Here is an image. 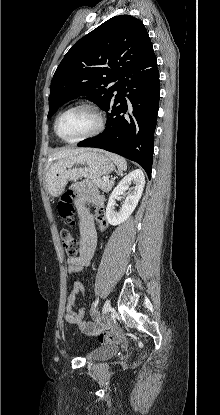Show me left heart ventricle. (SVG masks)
Here are the masks:
<instances>
[{
  "label": "left heart ventricle",
  "instance_id": "obj_1",
  "mask_svg": "<svg viewBox=\"0 0 220 415\" xmlns=\"http://www.w3.org/2000/svg\"><path fill=\"white\" fill-rule=\"evenodd\" d=\"M97 126L96 115L87 109H77L66 113L58 123V132L64 139L73 140L84 136Z\"/></svg>",
  "mask_w": 220,
  "mask_h": 415
}]
</instances>
